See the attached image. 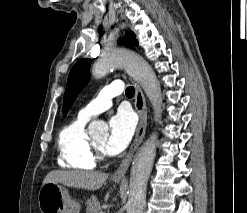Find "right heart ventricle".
Segmentation results:
<instances>
[{"instance_id": "obj_1", "label": "right heart ventricle", "mask_w": 247, "mask_h": 213, "mask_svg": "<svg viewBox=\"0 0 247 213\" xmlns=\"http://www.w3.org/2000/svg\"><path fill=\"white\" fill-rule=\"evenodd\" d=\"M87 120L77 117L59 132L57 138L58 165L65 169L93 170L96 167L90 138L86 130Z\"/></svg>"}]
</instances>
